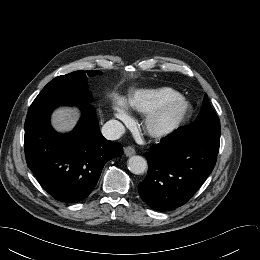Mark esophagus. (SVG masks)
I'll return each instance as SVG.
<instances>
[{
    "instance_id": "1",
    "label": "esophagus",
    "mask_w": 260,
    "mask_h": 260,
    "mask_svg": "<svg viewBox=\"0 0 260 260\" xmlns=\"http://www.w3.org/2000/svg\"><path fill=\"white\" fill-rule=\"evenodd\" d=\"M135 153H136V150H135L133 147H131V146H128V147H126V148L124 149V154H125L126 156H128V157L134 155Z\"/></svg>"
}]
</instances>
